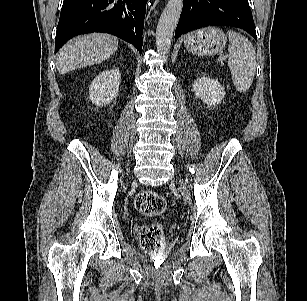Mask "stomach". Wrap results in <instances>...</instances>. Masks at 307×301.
<instances>
[{
	"mask_svg": "<svg viewBox=\"0 0 307 301\" xmlns=\"http://www.w3.org/2000/svg\"><path fill=\"white\" fill-rule=\"evenodd\" d=\"M226 35L217 27H207L189 33L184 40L188 51L197 55H215L225 46Z\"/></svg>",
	"mask_w": 307,
	"mask_h": 301,
	"instance_id": "0dacf381",
	"label": "stomach"
}]
</instances>
